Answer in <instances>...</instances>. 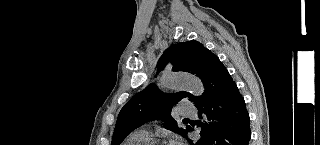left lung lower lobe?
<instances>
[{
	"instance_id": "0a47b994",
	"label": "left lung lower lobe",
	"mask_w": 320,
	"mask_h": 145,
	"mask_svg": "<svg viewBox=\"0 0 320 145\" xmlns=\"http://www.w3.org/2000/svg\"><path fill=\"white\" fill-rule=\"evenodd\" d=\"M204 92L194 105L199 110L201 138L190 145H248L251 138L250 119L239 90L224 67L216 59L204 72ZM193 128L188 127V132Z\"/></svg>"
}]
</instances>
